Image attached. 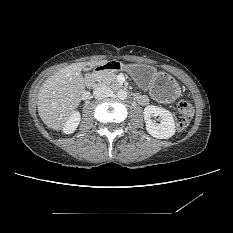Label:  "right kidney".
<instances>
[{
    "mask_svg": "<svg viewBox=\"0 0 233 233\" xmlns=\"http://www.w3.org/2000/svg\"><path fill=\"white\" fill-rule=\"evenodd\" d=\"M80 122V113L79 112H73L68 121L65 123L63 127V132L65 134H71L73 133L76 128L78 127Z\"/></svg>",
    "mask_w": 233,
    "mask_h": 233,
    "instance_id": "1",
    "label": "right kidney"
}]
</instances>
